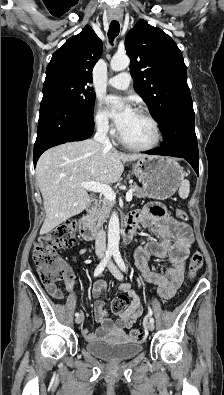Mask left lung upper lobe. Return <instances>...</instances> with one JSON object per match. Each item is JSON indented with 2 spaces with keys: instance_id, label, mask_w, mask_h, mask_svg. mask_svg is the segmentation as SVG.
I'll list each match as a JSON object with an SVG mask.
<instances>
[{
  "instance_id": "1",
  "label": "left lung upper lobe",
  "mask_w": 224,
  "mask_h": 395,
  "mask_svg": "<svg viewBox=\"0 0 224 395\" xmlns=\"http://www.w3.org/2000/svg\"><path fill=\"white\" fill-rule=\"evenodd\" d=\"M125 48L134 88L160 128L171 112L192 107L186 66L169 35L141 19L127 34Z\"/></svg>"
}]
</instances>
